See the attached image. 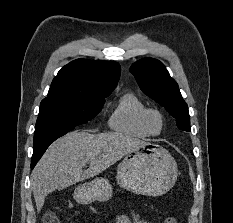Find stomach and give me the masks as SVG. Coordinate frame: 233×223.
Wrapping results in <instances>:
<instances>
[{
  "instance_id": "stomach-1",
  "label": "stomach",
  "mask_w": 233,
  "mask_h": 223,
  "mask_svg": "<svg viewBox=\"0 0 233 223\" xmlns=\"http://www.w3.org/2000/svg\"><path fill=\"white\" fill-rule=\"evenodd\" d=\"M177 175V163L171 153L157 143L144 141V145L131 149L118 163L116 183L132 193L155 197L169 191ZM112 193L113 187L106 177H94L80 183L73 197L78 203H92L107 201Z\"/></svg>"
}]
</instances>
